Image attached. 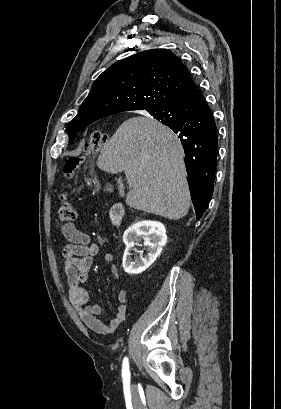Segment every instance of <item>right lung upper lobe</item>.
Listing matches in <instances>:
<instances>
[{
  "mask_svg": "<svg viewBox=\"0 0 281 409\" xmlns=\"http://www.w3.org/2000/svg\"><path fill=\"white\" fill-rule=\"evenodd\" d=\"M196 90L187 68L173 53L147 50L104 71L68 127L84 128L100 118L124 111L164 108Z\"/></svg>",
  "mask_w": 281,
  "mask_h": 409,
  "instance_id": "right-lung-upper-lobe-1",
  "label": "right lung upper lobe"
}]
</instances>
